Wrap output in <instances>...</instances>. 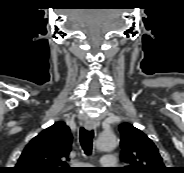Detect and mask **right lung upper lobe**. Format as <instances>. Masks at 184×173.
Masks as SVG:
<instances>
[{
	"label": "right lung upper lobe",
	"instance_id": "right-lung-upper-lobe-1",
	"mask_svg": "<svg viewBox=\"0 0 184 173\" xmlns=\"http://www.w3.org/2000/svg\"><path fill=\"white\" fill-rule=\"evenodd\" d=\"M72 135L62 121L34 137L23 150L14 173H69L64 159L71 151Z\"/></svg>",
	"mask_w": 184,
	"mask_h": 173
}]
</instances>
